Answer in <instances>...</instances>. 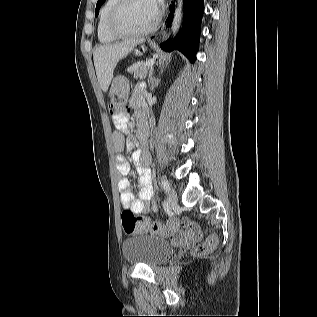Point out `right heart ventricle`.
I'll list each match as a JSON object with an SVG mask.
<instances>
[{
	"instance_id": "e07e8e85",
	"label": "right heart ventricle",
	"mask_w": 317,
	"mask_h": 317,
	"mask_svg": "<svg viewBox=\"0 0 317 317\" xmlns=\"http://www.w3.org/2000/svg\"><path fill=\"white\" fill-rule=\"evenodd\" d=\"M115 3L116 0H106L100 10L99 21L97 26V35L99 41L102 43H111L117 39V37L113 36L109 32L107 25L110 11Z\"/></svg>"
}]
</instances>
